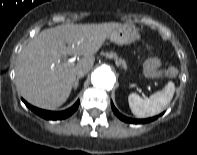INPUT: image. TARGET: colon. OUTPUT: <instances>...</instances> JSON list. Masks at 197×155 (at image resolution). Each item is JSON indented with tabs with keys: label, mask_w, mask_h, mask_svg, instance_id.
Returning a JSON list of instances; mask_svg holds the SVG:
<instances>
[{
	"label": "colon",
	"mask_w": 197,
	"mask_h": 155,
	"mask_svg": "<svg viewBox=\"0 0 197 155\" xmlns=\"http://www.w3.org/2000/svg\"><path fill=\"white\" fill-rule=\"evenodd\" d=\"M150 64L154 67H157L159 65V60L157 58H152L150 60Z\"/></svg>",
	"instance_id": "5ec220e1"
}]
</instances>
